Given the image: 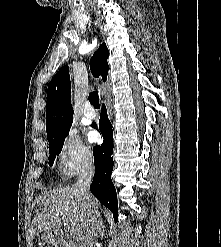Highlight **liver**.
<instances>
[{
  "mask_svg": "<svg viewBox=\"0 0 221 247\" xmlns=\"http://www.w3.org/2000/svg\"><path fill=\"white\" fill-rule=\"evenodd\" d=\"M95 203L99 210V203L96 200ZM35 204L42 209L33 217L32 236L41 232L56 231L64 224L81 242L90 217L75 185L44 191L36 198Z\"/></svg>",
  "mask_w": 221,
  "mask_h": 247,
  "instance_id": "6515ba94",
  "label": "liver"
}]
</instances>
